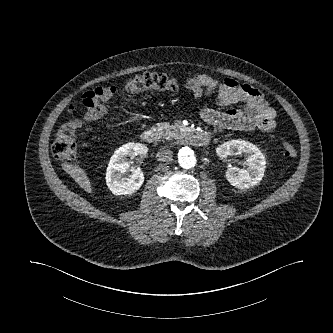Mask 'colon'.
I'll return each mask as SVG.
<instances>
[{"mask_svg":"<svg viewBox=\"0 0 333 333\" xmlns=\"http://www.w3.org/2000/svg\"><path fill=\"white\" fill-rule=\"evenodd\" d=\"M178 87L177 82L163 74L146 73L130 78L125 85L128 93H139L146 90L174 91ZM116 89L114 87H97L88 91L83 96L85 113L82 118L67 121L61 124L53 136L51 151L55 158L61 161H72L77 157L76 130L86 123L100 120L106 113V103L114 98ZM283 155L287 158L297 156L296 147L284 142L282 145Z\"/></svg>","mask_w":333,"mask_h":333,"instance_id":"colon-1","label":"colon"}]
</instances>
